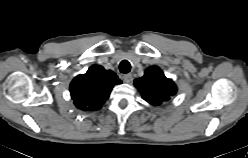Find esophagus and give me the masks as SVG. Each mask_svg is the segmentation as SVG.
I'll list each match as a JSON object with an SVG mask.
<instances>
[{
    "label": "esophagus",
    "mask_w": 248,
    "mask_h": 158,
    "mask_svg": "<svg viewBox=\"0 0 248 158\" xmlns=\"http://www.w3.org/2000/svg\"><path fill=\"white\" fill-rule=\"evenodd\" d=\"M133 80L132 74H124L123 75V81L126 83H130Z\"/></svg>",
    "instance_id": "34e87169"
}]
</instances>
